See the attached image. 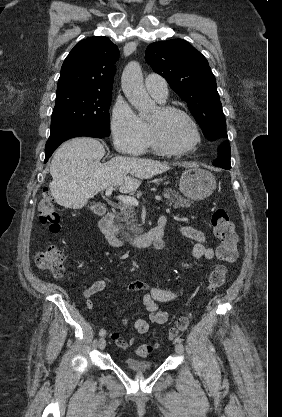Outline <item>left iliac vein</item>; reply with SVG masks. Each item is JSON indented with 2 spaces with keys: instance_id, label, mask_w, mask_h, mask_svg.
I'll return each mask as SVG.
<instances>
[{
  "instance_id": "left-iliac-vein-1",
  "label": "left iliac vein",
  "mask_w": 282,
  "mask_h": 417,
  "mask_svg": "<svg viewBox=\"0 0 282 417\" xmlns=\"http://www.w3.org/2000/svg\"><path fill=\"white\" fill-rule=\"evenodd\" d=\"M175 351H176V353H177L178 355L183 354V352H184V347H183V345H182L181 343H177V344L175 345Z\"/></svg>"
}]
</instances>
